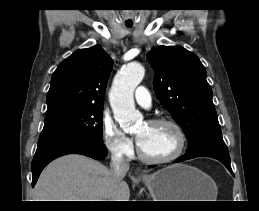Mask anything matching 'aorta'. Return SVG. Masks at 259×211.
Wrapping results in <instances>:
<instances>
[{
	"instance_id": "aorta-1",
	"label": "aorta",
	"mask_w": 259,
	"mask_h": 211,
	"mask_svg": "<svg viewBox=\"0 0 259 211\" xmlns=\"http://www.w3.org/2000/svg\"><path fill=\"white\" fill-rule=\"evenodd\" d=\"M144 75L145 69L140 63H130L114 78L109 99L114 117L124 131L133 130L142 118L135 109L133 93Z\"/></svg>"
}]
</instances>
